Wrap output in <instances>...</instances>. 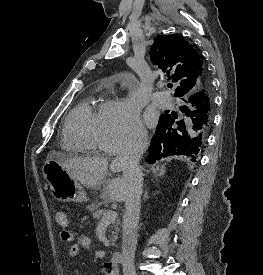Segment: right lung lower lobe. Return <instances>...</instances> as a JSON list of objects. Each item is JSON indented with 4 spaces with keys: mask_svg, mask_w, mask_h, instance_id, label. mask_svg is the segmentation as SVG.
<instances>
[{
    "mask_svg": "<svg viewBox=\"0 0 263 275\" xmlns=\"http://www.w3.org/2000/svg\"><path fill=\"white\" fill-rule=\"evenodd\" d=\"M205 75L206 86L179 97L184 101L180 107L181 112L186 115L183 119L175 122L177 117L174 115H161L149 148V163L170 155H186L193 157L195 161L211 126L206 104L208 94L212 91L207 73ZM174 122L176 125L173 126Z\"/></svg>",
    "mask_w": 263,
    "mask_h": 275,
    "instance_id": "obj_1",
    "label": "right lung lower lobe"
}]
</instances>
